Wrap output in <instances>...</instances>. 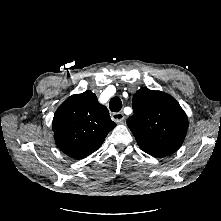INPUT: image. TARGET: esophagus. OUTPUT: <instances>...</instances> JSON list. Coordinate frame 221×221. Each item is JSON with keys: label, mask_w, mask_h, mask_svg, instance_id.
I'll return each mask as SVG.
<instances>
[{"label": "esophagus", "mask_w": 221, "mask_h": 221, "mask_svg": "<svg viewBox=\"0 0 221 221\" xmlns=\"http://www.w3.org/2000/svg\"><path fill=\"white\" fill-rule=\"evenodd\" d=\"M111 119L116 123H121L125 119V116L122 112H115L111 115Z\"/></svg>", "instance_id": "34e87169"}]
</instances>
